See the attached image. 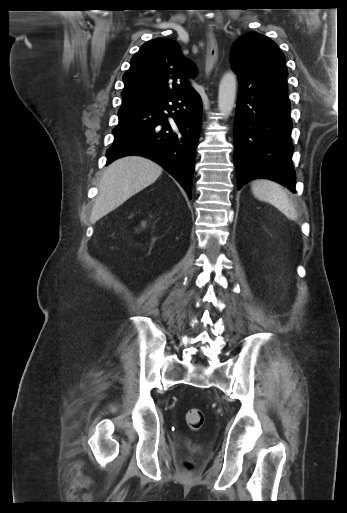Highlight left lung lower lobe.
Listing matches in <instances>:
<instances>
[{
	"instance_id": "obj_1",
	"label": "left lung lower lobe",
	"mask_w": 347,
	"mask_h": 513,
	"mask_svg": "<svg viewBox=\"0 0 347 513\" xmlns=\"http://www.w3.org/2000/svg\"><path fill=\"white\" fill-rule=\"evenodd\" d=\"M234 71L240 87L234 121L238 189L249 180L262 177L295 193L286 77L250 76Z\"/></svg>"
}]
</instances>
